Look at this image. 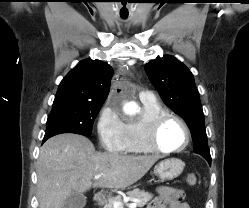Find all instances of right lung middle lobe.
<instances>
[{
    "instance_id": "right-lung-middle-lobe-1",
    "label": "right lung middle lobe",
    "mask_w": 249,
    "mask_h": 208,
    "mask_svg": "<svg viewBox=\"0 0 249 208\" xmlns=\"http://www.w3.org/2000/svg\"><path fill=\"white\" fill-rule=\"evenodd\" d=\"M103 103H68L52 107L45 135L76 133L90 136Z\"/></svg>"
}]
</instances>
